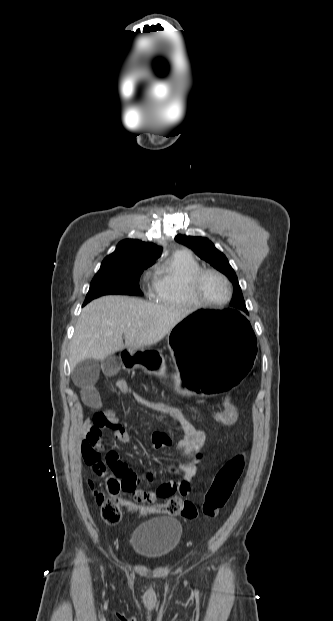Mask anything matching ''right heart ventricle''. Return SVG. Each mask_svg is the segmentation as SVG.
Segmentation results:
<instances>
[{
  "label": "right heart ventricle",
  "mask_w": 333,
  "mask_h": 621,
  "mask_svg": "<svg viewBox=\"0 0 333 621\" xmlns=\"http://www.w3.org/2000/svg\"><path fill=\"white\" fill-rule=\"evenodd\" d=\"M200 269L199 263L190 254H172L154 271L152 299L173 306L195 305L189 292V282Z\"/></svg>",
  "instance_id": "1"
}]
</instances>
